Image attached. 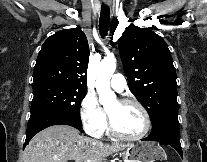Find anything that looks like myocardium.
<instances>
[{"label":"myocardium","instance_id":"myocardium-1","mask_svg":"<svg viewBox=\"0 0 207 162\" xmlns=\"http://www.w3.org/2000/svg\"><path fill=\"white\" fill-rule=\"evenodd\" d=\"M118 103L122 106L129 105V104L137 106L141 110L144 116V128L140 133L136 135L122 134L117 130L114 122L112 121L111 117L108 114L109 128H110L111 134L114 137L122 139V140H138V139L143 138L149 132L151 128V118H150V114L148 110L146 109V107L140 101L134 98H123V99L118 100Z\"/></svg>","mask_w":207,"mask_h":162}]
</instances>
